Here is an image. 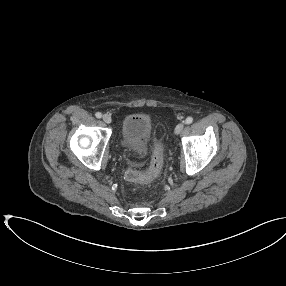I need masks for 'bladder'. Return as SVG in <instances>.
<instances>
[{
	"mask_svg": "<svg viewBox=\"0 0 286 286\" xmlns=\"http://www.w3.org/2000/svg\"><path fill=\"white\" fill-rule=\"evenodd\" d=\"M152 136V123L143 114L128 115L121 128V145L133 152H144Z\"/></svg>",
	"mask_w": 286,
	"mask_h": 286,
	"instance_id": "1",
	"label": "bladder"
}]
</instances>
